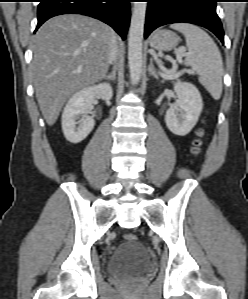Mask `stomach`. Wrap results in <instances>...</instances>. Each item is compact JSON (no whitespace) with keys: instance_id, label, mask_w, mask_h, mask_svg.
<instances>
[{"instance_id":"0dacf381","label":"stomach","mask_w":248,"mask_h":299,"mask_svg":"<svg viewBox=\"0 0 248 299\" xmlns=\"http://www.w3.org/2000/svg\"><path fill=\"white\" fill-rule=\"evenodd\" d=\"M180 42L179 36L170 30H158L156 31L151 39V48L158 51H170L174 49Z\"/></svg>"}]
</instances>
